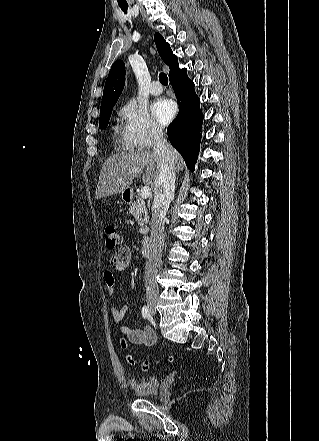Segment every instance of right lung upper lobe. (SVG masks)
Returning <instances> with one entry per match:
<instances>
[{
  "mask_svg": "<svg viewBox=\"0 0 319 441\" xmlns=\"http://www.w3.org/2000/svg\"><path fill=\"white\" fill-rule=\"evenodd\" d=\"M154 40L161 59L170 68V76L173 72L179 70L177 57L173 54L169 44L159 33L154 35ZM124 83L125 64L122 60H117L112 65L106 79L100 110L107 107H113L116 104L120 94L122 93Z\"/></svg>",
  "mask_w": 319,
  "mask_h": 441,
  "instance_id": "cb5924a9",
  "label": "right lung upper lobe"
}]
</instances>
